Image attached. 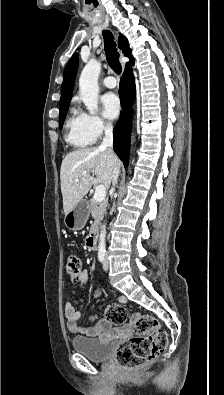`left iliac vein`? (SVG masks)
Listing matches in <instances>:
<instances>
[{
	"label": "left iliac vein",
	"mask_w": 224,
	"mask_h": 395,
	"mask_svg": "<svg viewBox=\"0 0 224 395\" xmlns=\"http://www.w3.org/2000/svg\"><path fill=\"white\" fill-rule=\"evenodd\" d=\"M108 268H109V260H108V257H107V255H106L105 260H104V263H103V269H104L105 271H107Z\"/></svg>",
	"instance_id": "1"
}]
</instances>
